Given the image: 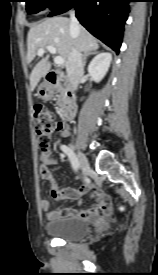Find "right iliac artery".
Listing matches in <instances>:
<instances>
[{"label": "right iliac artery", "instance_id": "1", "mask_svg": "<svg viewBox=\"0 0 158 275\" xmlns=\"http://www.w3.org/2000/svg\"><path fill=\"white\" fill-rule=\"evenodd\" d=\"M61 150L68 156V158L71 162L72 168L75 171H78L80 165H79L78 159H77L76 155L74 154L73 150L66 145H62Z\"/></svg>", "mask_w": 158, "mask_h": 275}]
</instances>
